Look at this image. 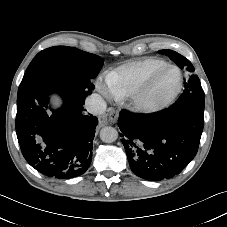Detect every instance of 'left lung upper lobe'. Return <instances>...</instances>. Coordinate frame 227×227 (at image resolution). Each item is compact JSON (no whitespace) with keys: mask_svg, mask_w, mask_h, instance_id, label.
I'll return each mask as SVG.
<instances>
[{"mask_svg":"<svg viewBox=\"0 0 227 227\" xmlns=\"http://www.w3.org/2000/svg\"><path fill=\"white\" fill-rule=\"evenodd\" d=\"M159 53L168 55L179 68L186 69L190 73L189 79L187 80V82H185V90L178 100L195 99L204 101L205 94L201 87L198 76L193 74L194 67L191 62L184 56L172 50H160Z\"/></svg>","mask_w":227,"mask_h":227,"instance_id":"obj_1","label":"left lung upper lobe"}]
</instances>
